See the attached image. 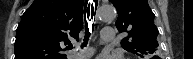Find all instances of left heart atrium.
Listing matches in <instances>:
<instances>
[{"mask_svg": "<svg viewBox=\"0 0 193 59\" xmlns=\"http://www.w3.org/2000/svg\"><path fill=\"white\" fill-rule=\"evenodd\" d=\"M98 59H117V58L116 57H104V56H101Z\"/></svg>", "mask_w": 193, "mask_h": 59, "instance_id": "1", "label": "left heart atrium"}]
</instances>
